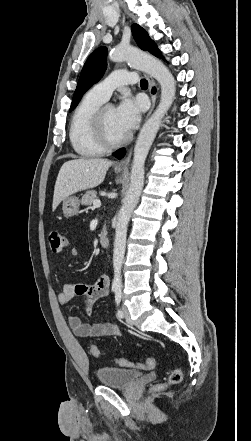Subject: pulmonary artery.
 Returning a JSON list of instances; mask_svg holds the SVG:
<instances>
[{"mask_svg":"<svg viewBox=\"0 0 251 441\" xmlns=\"http://www.w3.org/2000/svg\"><path fill=\"white\" fill-rule=\"evenodd\" d=\"M136 82L137 75L134 72L116 70L97 83L92 88V91L104 100H107L115 89L124 85L135 84Z\"/></svg>","mask_w":251,"mask_h":441,"instance_id":"1","label":"pulmonary artery"}]
</instances>
